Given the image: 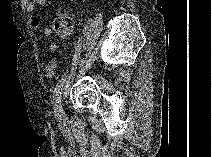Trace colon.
<instances>
[{
  "instance_id": "colon-1",
  "label": "colon",
  "mask_w": 212,
  "mask_h": 157,
  "mask_svg": "<svg viewBox=\"0 0 212 157\" xmlns=\"http://www.w3.org/2000/svg\"><path fill=\"white\" fill-rule=\"evenodd\" d=\"M73 28L72 17L66 13L58 14L53 21V29L56 36L60 39H66L71 35Z\"/></svg>"
}]
</instances>
